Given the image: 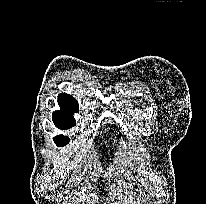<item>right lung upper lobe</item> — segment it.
Here are the masks:
<instances>
[{"mask_svg":"<svg viewBox=\"0 0 206 204\" xmlns=\"http://www.w3.org/2000/svg\"><path fill=\"white\" fill-rule=\"evenodd\" d=\"M58 103L62 110L55 111L54 113L72 115L74 112H77L79 105L77 100L69 94L61 93L58 96Z\"/></svg>","mask_w":206,"mask_h":204,"instance_id":"right-lung-upper-lobe-1","label":"right lung upper lobe"}]
</instances>
